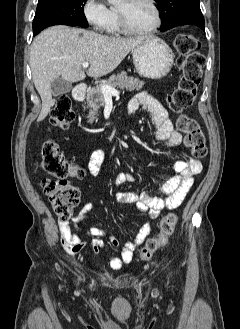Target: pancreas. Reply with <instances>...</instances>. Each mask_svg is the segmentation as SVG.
Instances as JSON below:
<instances>
[{
	"mask_svg": "<svg viewBox=\"0 0 240 329\" xmlns=\"http://www.w3.org/2000/svg\"><path fill=\"white\" fill-rule=\"evenodd\" d=\"M103 84L109 85L112 88L127 89L129 91L140 90L144 81H140L138 78L128 77L126 72H121L117 75H112ZM105 100L101 90V86L94 87L89 90L87 94V107L91 110L88 115V123L92 124L98 117V111L100 107L104 106Z\"/></svg>",
	"mask_w": 240,
	"mask_h": 329,
	"instance_id": "pancreas-1",
	"label": "pancreas"
}]
</instances>
